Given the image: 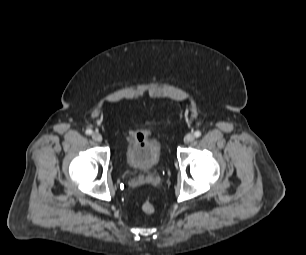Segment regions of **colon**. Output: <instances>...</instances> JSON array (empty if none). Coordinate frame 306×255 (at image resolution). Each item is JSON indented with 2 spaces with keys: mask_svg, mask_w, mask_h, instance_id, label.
<instances>
[{
  "mask_svg": "<svg viewBox=\"0 0 306 255\" xmlns=\"http://www.w3.org/2000/svg\"><path fill=\"white\" fill-rule=\"evenodd\" d=\"M142 210L144 213L146 214H152L154 213L155 211V208L153 206L152 203L148 202V201H145L143 204H142Z\"/></svg>",
  "mask_w": 306,
  "mask_h": 255,
  "instance_id": "1",
  "label": "colon"
}]
</instances>
